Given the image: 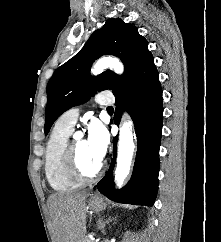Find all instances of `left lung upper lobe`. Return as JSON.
I'll return each instance as SVG.
<instances>
[{"label": "left lung upper lobe", "instance_id": "5c2ea615", "mask_svg": "<svg viewBox=\"0 0 221 242\" xmlns=\"http://www.w3.org/2000/svg\"><path fill=\"white\" fill-rule=\"evenodd\" d=\"M105 54L121 59L125 66L123 75L107 70L97 77L89 76L94 60ZM152 65L148 43L138 29L121 19H108L74 57L56 69L49 80L45 134L69 108L86 102L96 91L110 89L113 93L119 92Z\"/></svg>", "mask_w": 221, "mask_h": 242}]
</instances>
